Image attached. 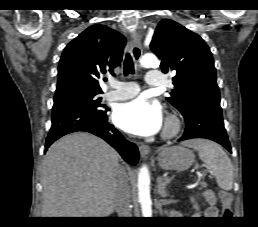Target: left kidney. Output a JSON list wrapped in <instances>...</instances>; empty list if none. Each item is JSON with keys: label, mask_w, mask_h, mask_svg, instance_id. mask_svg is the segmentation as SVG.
<instances>
[{"label": "left kidney", "mask_w": 258, "mask_h": 227, "mask_svg": "<svg viewBox=\"0 0 258 227\" xmlns=\"http://www.w3.org/2000/svg\"><path fill=\"white\" fill-rule=\"evenodd\" d=\"M191 201H192V203H193V207H194L196 210H198L199 207H198V204L195 202L194 198H191Z\"/></svg>", "instance_id": "left-kidney-1"}]
</instances>
